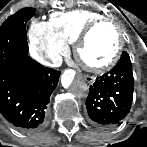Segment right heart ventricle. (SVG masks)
<instances>
[{
    "mask_svg": "<svg viewBox=\"0 0 147 147\" xmlns=\"http://www.w3.org/2000/svg\"><path fill=\"white\" fill-rule=\"evenodd\" d=\"M100 19L99 14L83 10L57 14L52 17L48 30L63 45L72 44L88 25Z\"/></svg>",
    "mask_w": 147,
    "mask_h": 147,
    "instance_id": "e07e8e85",
    "label": "right heart ventricle"
}]
</instances>
